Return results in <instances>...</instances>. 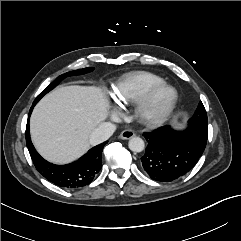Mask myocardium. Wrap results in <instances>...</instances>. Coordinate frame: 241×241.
<instances>
[{
    "mask_svg": "<svg viewBox=\"0 0 241 241\" xmlns=\"http://www.w3.org/2000/svg\"><path fill=\"white\" fill-rule=\"evenodd\" d=\"M169 89L172 91V97L169 103L160 111L153 110V104L158 94ZM179 100V92L173 85L162 82L150 88L143 97L137 102L136 113L139 119L149 126H160L165 123L174 112Z\"/></svg>",
    "mask_w": 241,
    "mask_h": 241,
    "instance_id": "1",
    "label": "myocardium"
}]
</instances>
